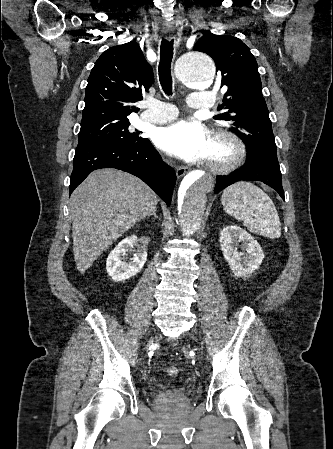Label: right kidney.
<instances>
[{"instance_id":"right-kidney-1","label":"right kidney","mask_w":333,"mask_h":449,"mask_svg":"<svg viewBox=\"0 0 333 449\" xmlns=\"http://www.w3.org/2000/svg\"><path fill=\"white\" fill-rule=\"evenodd\" d=\"M138 247L134 257L127 259L126 252ZM147 260V252L144 245L139 244L138 238L132 235L122 240L108 255L106 269L113 281L120 282L138 274Z\"/></svg>"}]
</instances>
